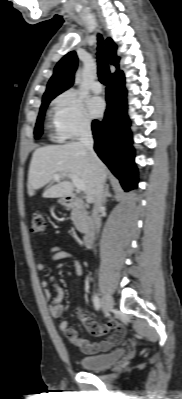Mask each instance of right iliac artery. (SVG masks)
Returning a JSON list of instances; mask_svg holds the SVG:
<instances>
[{"instance_id":"obj_1","label":"right iliac artery","mask_w":182,"mask_h":399,"mask_svg":"<svg viewBox=\"0 0 182 399\" xmlns=\"http://www.w3.org/2000/svg\"><path fill=\"white\" fill-rule=\"evenodd\" d=\"M93 305H94V307H95V309L98 311V310H100V308H101V302H100V299H99V297L97 296V295H95L94 297H93Z\"/></svg>"}]
</instances>
